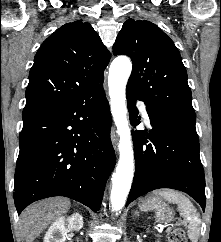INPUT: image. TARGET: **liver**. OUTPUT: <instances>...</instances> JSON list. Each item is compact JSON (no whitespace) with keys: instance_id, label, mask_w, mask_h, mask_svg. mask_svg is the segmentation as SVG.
Wrapping results in <instances>:
<instances>
[{"instance_id":"1","label":"liver","mask_w":221,"mask_h":242,"mask_svg":"<svg viewBox=\"0 0 221 242\" xmlns=\"http://www.w3.org/2000/svg\"><path fill=\"white\" fill-rule=\"evenodd\" d=\"M70 208L66 198H51L27 207L20 218L22 236L26 242H33L57 217Z\"/></svg>"}]
</instances>
